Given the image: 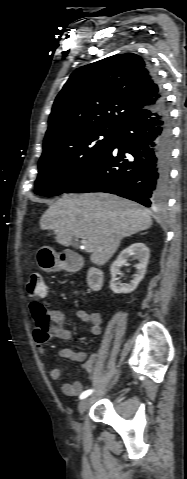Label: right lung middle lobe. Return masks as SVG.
Masks as SVG:
<instances>
[{
  "label": "right lung middle lobe",
  "mask_w": 187,
  "mask_h": 479,
  "mask_svg": "<svg viewBox=\"0 0 187 479\" xmlns=\"http://www.w3.org/2000/svg\"><path fill=\"white\" fill-rule=\"evenodd\" d=\"M119 129L93 128L76 132L43 146L36 194L65 193L113 145Z\"/></svg>",
  "instance_id": "dd1d6c3e"
}]
</instances>
